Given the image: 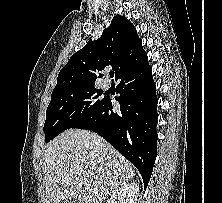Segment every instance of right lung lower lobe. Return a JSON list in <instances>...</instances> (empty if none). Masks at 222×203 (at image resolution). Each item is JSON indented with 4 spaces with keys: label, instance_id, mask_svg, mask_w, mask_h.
I'll return each mask as SVG.
<instances>
[{
    "label": "right lung lower lobe",
    "instance_id": "1",
    "mask_svg": "<svg viewBox=\"0 0 222 203\" xmlns=\"http://www.w3.org/2000/svg\"><path fill=\"white\" fill-rule=\"evenodd\" d=\"M116 100L110 98L72 128L92 130L113 145L139 170L145 188L152 174L157 154V96L148 60L116 78Z\"/></svg>",
    "mask_w": 222,
    "mask_h": 203
}]
</instances>
